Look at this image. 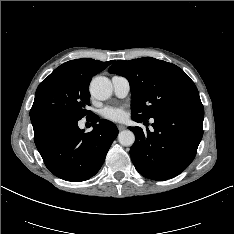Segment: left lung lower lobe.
I'll return each instance as SVG.
<instances>
[{"label":"left lung lower lobe","mask_w":234,"mask_h":234,"mask_svg":"<svg viewBox=\"0 0 234 234\" xmlns=\"http://www.w3.org/2000/svg\"><path fill=\"white\" fill-rule=\"evenodd\" d=\"M137 122L141 119L132 118ZM154 132L129 127L135 134L130 156L137 171L153 180L171 179L193 161L203 136L201 102L184 105L153 117Z\"/></svg>","instance_id":"left-lung-lower-lobe-1"}]
</instances>
